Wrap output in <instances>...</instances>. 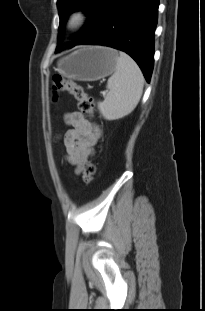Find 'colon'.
<instances>
[{
    "label": "colon",
    "instance_id": "1",
    "mask_svg": "<svg viewBox=\"0 0 205 311\" xmlns=\"http://www.w3.org/2000/svg\"><path fill=\"white\" fill-rule=\"evenodd\" d=\"M53 91L55 94L64 92L72 95L78 102L80 111L86 116H92L94 113L93 98L86 94L84 89L76 83L66 80L60 76L53 78ZM96 166L91 157H89L83 167L82 179L85 184H89L95 175Z\"/></svg>",
    "mask_w": 205,
    "mask_h": 311
}]
</instances>
